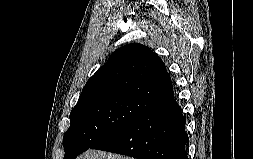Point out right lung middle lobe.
<instances>
[{"label":"right lung middle lobe","instance_id":"obj_1","mask_svg":"<svg viewBox=\"0 0 253 159\" xmlns=\"http://www.w3.org/2000/svg\"><path fill=\"white\" fill-rule=\"evenodd\" d=\"M154 106L153 102L129 95L78 100L70 113V127L63 137L64 159H74L93 148Z\"/></svg>","mask_w":253,"mask_h":159}]
</instances>
